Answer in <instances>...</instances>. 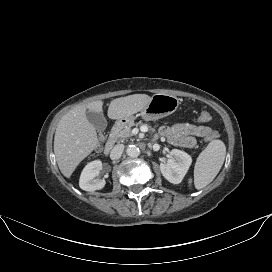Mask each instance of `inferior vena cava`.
Wrapping results in <instances>:
<instances>
[{
	"instance_id": "1",
	"label": "inferior vena cava",
	"mask_w": 272,
	"mask_h": 272,
	"mask_svg": "<svg viewBox=\"0 0 272 272\" xmlns=\"http://www.w3.org/2000/svg\"><path fill=\"white\" fill-rule=\"evenodd\" d=\"M124 151V145L123 144H117L114 146V148L111 150L110 158L112 160L119 159Z\"/></svg>"
}]
</instances>
